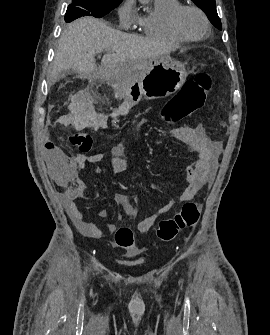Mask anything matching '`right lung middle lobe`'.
I'll return each instance as SVG.
<instances>
[{
  "label": "right lung middle lobe",
  "mask_w": 270,
  "mask_h": 335,
  "mask_svg": "<svg viewBox=\"0 0 270 335\" xmlns=\"http://www.w3.org/2000/svg\"><path fill=\"white\" fill-rule=\"evenodd\" d=\"M120 3L110 0H72L67 8L65 21L68 23L82 16L101 18Z\"/></svg>",
  "instance_id": "1"
}]
</instances>
